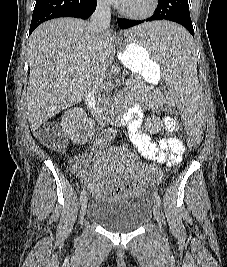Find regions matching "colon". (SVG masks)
Here are the masks:
<instances>
[{"mask_svg": "<svg viewBox=\"0 0 227 267\" xmlns=\"http://www.w3.org/2000/svg\"><path fill=\"white\" fill-rule=\"evenodd\" d=\"M164 108L168 116H174V119H177L178 111H176L175 109V104H165ZM38 138L44 145L53 150H60L65 145L64 136L58 128H42L38 133ZM199 146V139L195 138L186 139V142L183 143V148L187 152L188 157L196 156V154H199V149L197 148Z\"/></svg>", "mask_w": 227, "mask_h": 267, "instance_id": "obj_1", "label": "colon"}]
</instances>
